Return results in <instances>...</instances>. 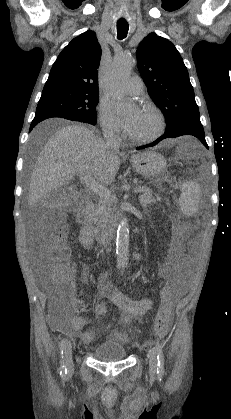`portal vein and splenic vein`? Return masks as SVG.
Segmentation results:
<instances>
[{"mask_svg":"<svg viewBox=\"0 0 231 419\" xmlns=\"http://www.w3.org/2000/svg\"><path fill=\"white\" fill-rule=\"evenodd\" d=\"M81 176V179L85 182L86 186L92 190L95 194L100 196L101 198H112L113 195L109 189L104 187L103 185L99 184L89 173H78ZM145 190L144 187H136L135 192L141 193Z\"/></svg>","mask_w":231,"mask_h":419,"instance_id":"1","label":"portal vein and splenic vein"}]
</instances>
